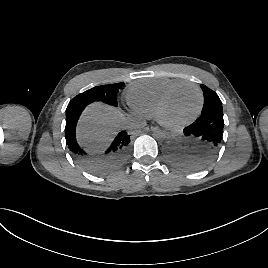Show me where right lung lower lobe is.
<instances>
[{"label":"right lung lower lobe","instance_id":"1","mask_svg":"<svg viewBox=\"0 0 268 268\" xmlns=\"http://www.w3.org/2000/svg\"><path fill=\"white\" fill-rule=\"evenodd\" d=\"M88 104L90 103L81 102L67 106L66 144L72 156L84 168L95 174H103L115 170L123 164L129 152L130 135L126 131L120 132L106 151L98 156L84 150L76 141L75 129L82 111Z\"/></svg>","mask_w":268,"mask_h":268}]
</instances>
